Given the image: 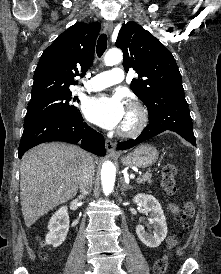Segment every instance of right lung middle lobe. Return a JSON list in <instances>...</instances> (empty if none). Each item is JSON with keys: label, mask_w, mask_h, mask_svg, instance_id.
I'll use <instances>...</instances> for the list:
<instances>
[{"label": "right lung middle lobe", "mask_w": 221, "mask_h": 274, "mask_svg": "<svg viewBox=\"0 0 221 274\" xmlns=\"http://www.w3.org/2000/svg\"><path fill=\"white\" fill-rule=\"evenodd\" d=\"M71 93L51 95L32 99L28 104L25 122L45 117L63 115L73 119L81 117L79 109L73 105Z\"/></svg>", "instance_id": "right-lung-middle-lobe-1"}]
</instances>
